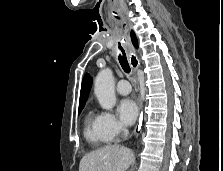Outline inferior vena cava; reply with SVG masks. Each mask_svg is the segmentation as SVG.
<instances>
[{"instance_id":"obj_1","label":"inferior vena cava","mask_w":223,"mask_h":171,"mask_svg":"<svg viewBox=\"0 0 223 171\" xmlns=\"http://www.w3.org/2000/svg\"><path fill=\"white\" fill-rule=\"evenodd\" d=\"M124 130V135H125V137H127L128 136V134H129V132H128V130L127 129H123Z\"/></svg>"}]
</instances>
